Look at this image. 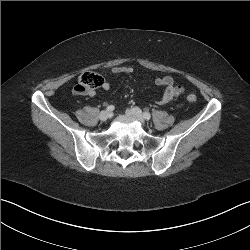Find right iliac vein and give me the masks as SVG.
Returning <instances> with one entry per match:
<instances>
[{"mask_svg":"<svg viewBox=\"0 0 250 250\" xmlns=\"http://www.w3.org/2000/svg\"><path fill=\"white\" fill-rule=\"evenodd\" d=\"M110 117V113L108 111H102L99 115L101 121H107Z\"/></svg>","mask_w":250,"mask_h":250,"instance_id":"1","label":"right iliac vein"}]
</instances>
